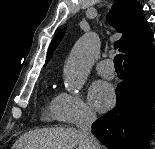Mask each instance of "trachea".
Listing matches in <instances>:
<instances>
[{
	"label": "trachea",
	"mask_w": 155,
	"mask_h": 149,
	"mask_svg": "<svg viewBox=\"0 0 155 149\" xmlns=\"http://www.w3.org/2000/svg\"><path fill=\"white\" fill-rule=\"evenodd\" d=\"M122 61H123V55H116L114 58V65L116 70L123 71V66H122Z\"/></svg>",
	"instance_id": "1"
}]
</instances>
